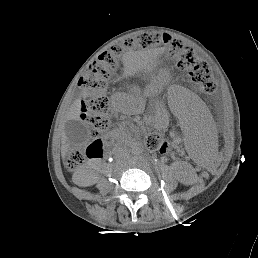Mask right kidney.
<instances>
[{
    "instance_id": "ca27d5eb",
    "label": "right kidney",
    "mask_w": 258,
    "mask_h": 258,
    "mask_svg": "<svg viewBox=\"0 0 258 258\" xmlns=\"http://www.w3.org/2000/svg\"><path fill=\"white\" fill-rule=\"evenodd\" d=\"M95 175L90 172L88 167H83L76 171L73 175V181L77 185L81 186H89L95 183L96 181Z\"/></svg>"
}]
</instances>
